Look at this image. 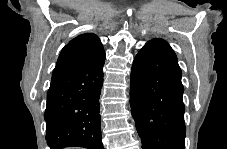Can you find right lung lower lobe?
<instances>
[{
	"label": "right lung lower lobe",
	"mask_w": 227,
	"mask_h": 149,
	"mask_svg": "<svg viewBox=\"0 0 227 149\" xmlns=\"http://www.w3.org/2000/svg\"><path fill=\"white\" fill-rule=\"evenodd\" d=\"M104 60L52 77L44 115L50 149H103L99 97Z\"/></svg>",
	"instance_id": "right-lung-lower-lobe-1"
}]
</instances>
